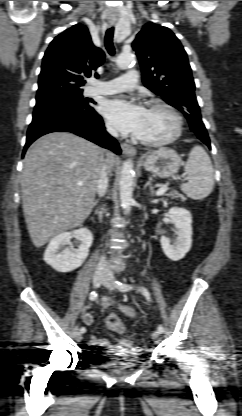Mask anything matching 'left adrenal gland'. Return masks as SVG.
<instances>
[{
	"label": "left adrenal gland",
	"instance_id": "a2214340",
	"mask_svg": "<svg viewBox=\"0 0 242 416\" xmlns=\"http://www.w3.org/2000/svg\"><path fill=\"white\" fill-rule=\"evenodd\" d=\"M147 187H149L150 195H153V193H154V186L152 184V177H149L147 183L144 185V189H146Z\"/></svg>",
	"mask_w": 242,
	"mask_h": 416
}]
</instances>
